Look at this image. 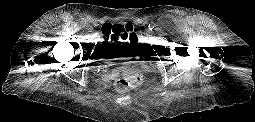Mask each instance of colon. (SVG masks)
<instances>
[{
    "mask_svg": "<svg viewBox=\"0 0 255 122\" xmlns=\"http://www.w3.org/2000/svg\"><path fill=\"white\" fill-rule=\"evenodd\" d=\"M102 32L106 36L116 35L122 40L127 41L134 39L136 33L132 25H118L109 24L102 28ZM141 80V74L139 70L132 66H126L121 71V76L115 83V87L119 92H126L134 87H136Z\"/></svg>",
    "mask_w": 255,
    "mask_h": 122,
    "instance_id": "obj_1",
    "label": "colon"
}]
</instances>
